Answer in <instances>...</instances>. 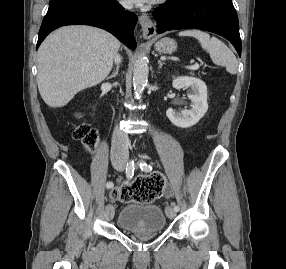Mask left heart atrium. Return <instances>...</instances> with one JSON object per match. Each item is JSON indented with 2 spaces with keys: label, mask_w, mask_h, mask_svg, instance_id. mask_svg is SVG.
I'll return each instance as SVG.
<instances>
[{
  "label": "left heart atrium",
  "mask_w": 286,
  "mask_h": 269,
  "mask_svg": "<svg viewBox=\"0 0 286 269\" xmlns=\"http://www.w3.org/2000/svg\"><path fill=\"white\" fill-rule=\"evenodd\" d=\"M126 4L146 5L155 2L156 0H122Z\"/></svg>",
  "instance_id": "39dd6f15"
}]
</instances>
